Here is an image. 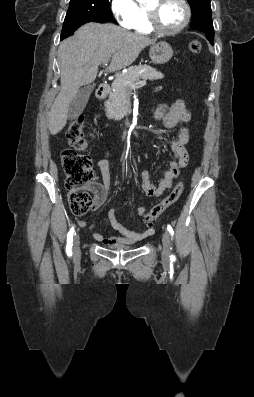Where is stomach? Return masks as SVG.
I'll return each instance as SVG.
<instances>
[{
    "mask_svg": "<svg viewBox=\"0 0 254 397\" xmlns=\"http://www.w3.org/2000/svg\"><path fill=\"white\" fill-rule=\"evenodd\" d=\"M149 56L155 64H165L173 56L172 47L164 41L152 44L149 50Z\"/></svg>",
    "mask_w": 254,
    "mask_h": 397,
    "instance_id": "stomach-1",
    "label": "stomach"
}]
</instances>
